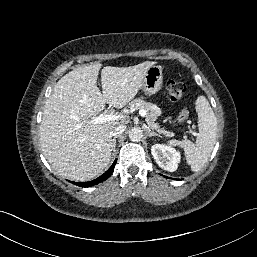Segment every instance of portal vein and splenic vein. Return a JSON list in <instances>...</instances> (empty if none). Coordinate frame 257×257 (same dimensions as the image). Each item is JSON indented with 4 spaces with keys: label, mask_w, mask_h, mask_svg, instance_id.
<instances>
[{
    "label": "portal vein and splenic vein",
    "mask_w": 257,
    "mask_h": 257,
    "mask_svg": "<svg viewBox=\"0 0 257 257\" xmlns=\"http://www.w3.org/2000/svg\"><path fill=\"white\" fill-rule=\"evenodd\" d=\"M139 114H140V116L145 117L146 116V111L145 110H140ZM120 118H122L120 115L100 114L98 117L93 118L92 122L94 124H97V123H103V122H106V121L119 120Z\"/></svg>",
    "instance_id": "1"
}]
</instances>
